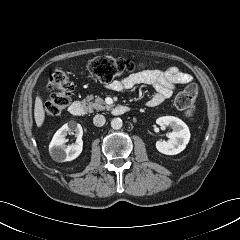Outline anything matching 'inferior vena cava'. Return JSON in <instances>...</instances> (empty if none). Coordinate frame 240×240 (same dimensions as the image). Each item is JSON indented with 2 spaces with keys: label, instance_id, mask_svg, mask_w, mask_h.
I'll return each instance as SVG.
<instances>
[{
  "label": "inferior vena cava",
  "instance_id": "inferior-vena-cava-1",
  "mask_svg": "<svg viewBox=\"0 0 240 240\" xmlns=\"http://www.w3.org/2000/svg\"><path fill=\"white\" fill-rule=\"evenodd\" d=\"M105 117L103 115H95L93 118V123L95 126L101 127L105 124Z\"/></svg>",
  "mask_w": 240,
  "mask_h": 240
}]
</instances>
